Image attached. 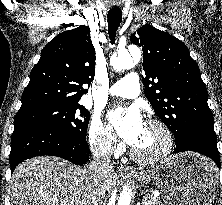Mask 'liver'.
<instances>
[{
    "mask_svg": "<svg viewBox=\"0 0 222 205\" xmlns=\"http://www.w3.org/2000/svg\"><path fill=\"white\" fill-rule=\"evenodd\" d=\"M114 185L112 172L96 177L55 156H39L18 165L10 180L11 205H101Z\"/></svg>",
    "mask_w": 222,
    "mask_h": 205,
    "instance_id": "6515ba94",
    "label": "liver"
}]
</instances>
